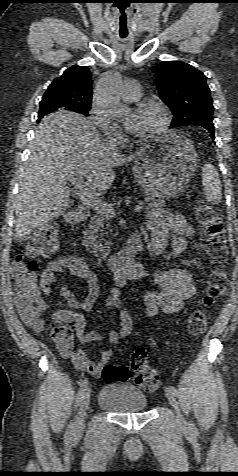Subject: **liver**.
<instances>
[{
	"label": "liver",
	"mask_w": 238,
	"mask_h": 476,
	"mask_svg": "<svg viewBox=\"0 0 238 476\" xmlns=\"http://www.w3.org/2000/svg\"><path fill=\"white\" fill-rule=\"evenodd\" d=\"M30 156L20 174L14 240L62 215L73 204L66 187L71 177H85L96 194L110 188L114 168L132 161L109 148L86 117L59 111L45 116L36 128Z\"/></svg>",
	"instance_id": "1"
}]
</instances>
